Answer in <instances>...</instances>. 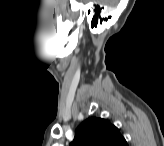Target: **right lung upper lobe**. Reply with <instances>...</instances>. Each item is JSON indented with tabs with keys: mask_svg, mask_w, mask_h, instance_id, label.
<instances>
[{
	"mask_svg": "<svg viewBox=\"0 0 164 146\" xmlns=\"http://www.w3.org/2000/svg\"><path fill=\"white\" fill-rule=\"evenodd\" d=\"M71 146H126V141L107 120L90 117L77 129Z\"/></svg>",
	"mask_w": 164,
	"mask_h": 146,
	"instance_id": "cb5924a9",
	"label": "right lung upper lobe"
}]
</instances>
